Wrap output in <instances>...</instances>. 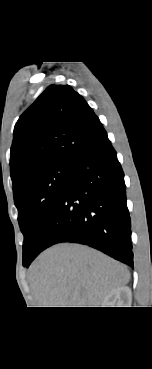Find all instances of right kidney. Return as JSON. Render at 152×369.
<instances>
[{
	"label": "right kidney",
	"instance_id": "1",
	"mask_svg": "<svg viewBox=\"0 0 152 369\" xmlns=\"http://www.w3.org/2000/svg\"><path fill=\"white\" fill-rule=\"evenodd\" d=\"M131 300V289L128 286H121L112 290L103 300V307H127Z\"/></svg>",
	"mask_w": 152,
	"mask_h": 369
}]
</instances>
